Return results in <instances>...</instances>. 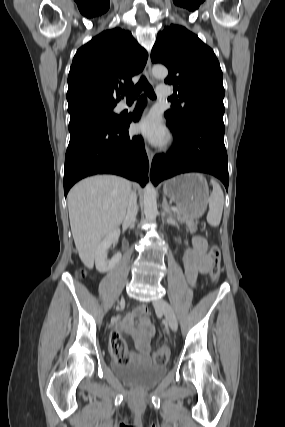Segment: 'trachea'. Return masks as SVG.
Instances as JSON below:
<instances>
[{
	"mask_svg": "<svg viewBox=\"0 0 285 427\" xmlns=\"http://www.w3.org/2000/svg\"><path fill=\"white\" fill-rule=\"evenodd\" d=\"M143 89L145 93L148 95V97H150L151 99L156 98L155 92L152 86L148 83L145 76H141L136 86L132 88H125L122 90V93L127 96V100H135Z\"/></svg>",
	"mask_w": 285,
	"mask_h": 427,
	"instance_id": "trachea-1",
	"label": "trachea"
}]
</instances>
